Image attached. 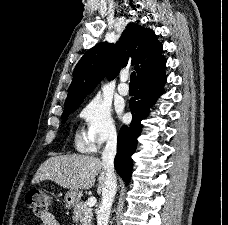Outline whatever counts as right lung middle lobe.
I'll return each mask as SVG.
<instances>
[{"label": "right lung middle lobe", "mask_w": 228, "mask_h": 225, "mask_svg": "<svg viewBox=\"0 0 228 225\" xmlns=\"http://www.w3.org/2000/svg\"><path fill=\"white\" fill-rule=\"evenodd\" d=\"M81 103H78V104H74V105H70V106H67V107H64V112L62 114V119L63 122L66 121V118L69 116L70 113L74 112L78 106L80 105Z\"/></svg>", "instance_id": "obj_1"}]
</instances>
